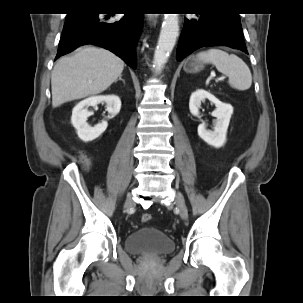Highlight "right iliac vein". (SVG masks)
Returning a JSON list of instances; mask_svg holds the SVG:
<instances>
[{
	"label": "right iliac vein",
	"instance_id": "obj_1",
	"mask_svg": "<svg viewBox=\"0 0 303 303\" xmlns=\"http://www.w3.org/2000/svg\"><path fill=\"white\" fill-rule=\"evenodd\" d=\"M133 204V200H132V197L131 195H128L127 196V199H126V203H125V209H129Z\"/></svg>",
	"mask_w": 303,
	"mask_h": 303
}]
</instances>
